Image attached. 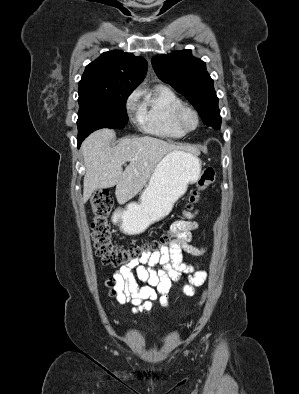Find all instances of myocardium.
Segmentation results:
<instances>
[{"label":"myocardium","mask_w":299,"mask_h":394,"mask_svg":"<svg viewBox=\"0 0 299 394\" xmlns=\"http://www.w3.org/2000/svg\"><path fill=\"white\" fill-rule=\"evenodd\" d=\"M186 112L192 113V114L194 115V117H195L196 123H195V126L192 127V128L187 127V126L185 125V123H184V114H185ZM175 122H176L177 126H178L183 132L188 133V132H192V131L196 130V129L199 127V125H200V116H199L198 111H197L194 107H192V106H190V105H188V104L182 103V104L176 109V112H175Z\"/></svg>","instance_id":"1"}]
</instances>
